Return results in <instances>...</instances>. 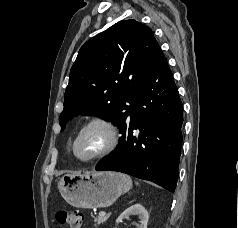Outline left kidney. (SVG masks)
<instances>
[{
  "instance_id": "5707ae66",
  "label": "left kidney",
  "mask_w": 238,
  "mask_h": 228,
  "mask_svg": "<svg viewBox=\"0 0 238 228\" xmlns=\"http://www.w3.org/2000/svg\"><path fill=\"white\" fill-rule=\"evenodd\" d=\"M131 215H138L140 219V224L137 225V228H147V223L149 219V215L147 210L139 203L132 205L131 207L127 208L116 220V224L121 222L123 219L131 216ZM116 228V227H115Z\"/></svg>"
}]
</instances>
